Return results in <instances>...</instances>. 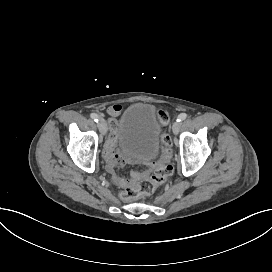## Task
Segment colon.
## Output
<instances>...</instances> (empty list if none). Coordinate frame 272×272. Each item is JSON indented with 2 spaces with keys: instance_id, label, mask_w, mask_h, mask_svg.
Returning <instances> with one entry per match:
<instances>
[{
  "instance_id": "1",
  "label": "colon",
  "mask_w": 272,
  "mask_h": 272,
  "mask_svg": "<svg viewBox=\"0 0 272 272\" xmlns=\"http://www.w3.org/2000/svg\"><path fill=\"white\" fill-rule=\"evenodd\" d=\"M168 120V112L160 110L158 112V121L166 122ZM162 140H169L167 134L162 135ZM166 152L171 150L166 149ZM124 159L119 158L111 163V167L119 168L124 164ZM173 172V165L171 163H164L162 167L154 170L152 174L141 173L136 174L132 178H121L116 176L115 181L121 183L123 186L124 193L132 198H137L140 194L142 196H151L155 192V187L159 184L164 183L167 178Z\"/></svg>"
}]
</instances>
